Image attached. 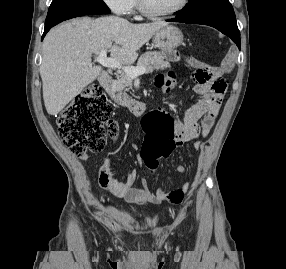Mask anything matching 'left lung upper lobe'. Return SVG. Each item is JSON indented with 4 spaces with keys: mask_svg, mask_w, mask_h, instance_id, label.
<instances>
[{
    "mask_svg": "<svg viewBox=\"0 0 286 269\" xmlns=\"http://www.w3.org/2000/svg\"><path fill=\"white\" fill-rule=\"evenodd\" d=\"M182 18L195 17H232L235 18L233 7L229 0H189V5L180 10Z\"/></svg>",
    "mask_w": 286,
    "mask_h": 269,
    "instance_id": "1",
    "label": "left lung upper lobe"
}]
</instances>
